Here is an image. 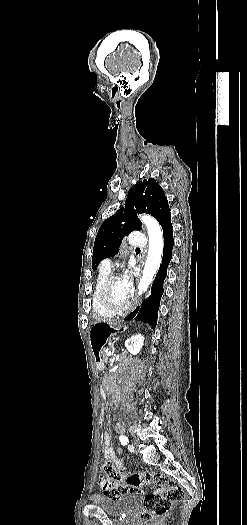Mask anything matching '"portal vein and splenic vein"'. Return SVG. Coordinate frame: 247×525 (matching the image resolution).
Instances as JSON below:
<instances>
[{
  "instance_id": "portal-vein-and-splenic-vein-1",
  "label": "portal vein and splenic vein",
  "mask_w": 247,
  "mask_h": 525,
  "mask_svg": "<svg viewBox=\"0 0 247 525\" xmlns=\"http://www.w3.org/2000/svg\"><path fill=\"white\" fill-rule=\"evenodd\" d=\"M111 353H113V350H109V353H107V358H110Z\"/></svg>"
}]
</instances>
